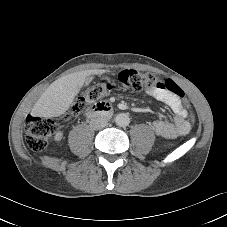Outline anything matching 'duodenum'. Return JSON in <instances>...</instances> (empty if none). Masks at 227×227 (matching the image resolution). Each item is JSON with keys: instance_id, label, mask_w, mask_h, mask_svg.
<instances>
[{"instance_id": "410a0bca", "label": "duodenum", "mask_w": 227, "mask_h": 227, "mask_svg": "<svg viewBox=\"0 0 227 227\" xmlns=\"http://www.w3.org/2000/svg\"><path fill=\"white\" fill-rule=\"evenodd\" d=\"M114 109L111 104L107 102H99L86 110V116L89 118L104 116L108 117L113 115Z\"/></svg>"}]
</instances>
